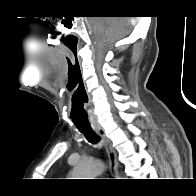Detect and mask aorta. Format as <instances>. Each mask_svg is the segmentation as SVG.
<instances>
[{"label":"aorta","mask_w":196,"mask_h":196,"mask_svg":"<svg viewBox=\"0 0 196 196\" xmlns=\"http://www.w3.org/2000/svg\"><path fill=\"white\" fill-rule=\"evenodd\" d=\"M104 169V165L95 160H82L73 169L72 179H94Z\"/></svg>","instance_id":"762f6f07"}]
</instances>
